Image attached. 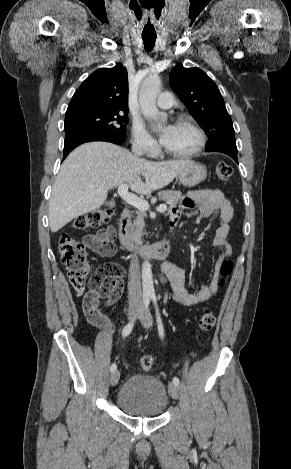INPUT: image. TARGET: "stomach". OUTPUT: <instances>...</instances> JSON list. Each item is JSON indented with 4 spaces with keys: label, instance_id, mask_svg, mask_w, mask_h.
<instances>
[{
    "label": "stomach",
    "instance_id": "obj_1",
    "mask_svg": "<svg viewBox=\"0 0 291 469\" xmlns=\"http://www.w3.org/2000/svg\"><path fill=\"white\" fill-rule=\"evenodd\" d=\"M206 176V168L195 162L187 164L178 174L180 183L187 187L196 186L202 182Z\"/></svg>",
    "mask_w": 291,
    "mask_h": 469
}]
</instances>
